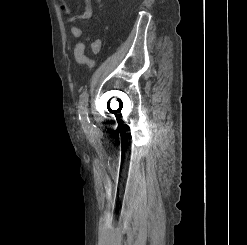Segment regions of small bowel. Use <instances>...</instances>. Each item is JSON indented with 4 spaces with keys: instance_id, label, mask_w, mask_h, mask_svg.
<instances>
[{
    "instance_id": "1",
    "label": "small bowel",
    "mask_w": 247,
    "mask_h": 245,
    "mask_svg": "<svg viewBox=\"0 0 247 245\" xmlns=\"http://www.w3.org/2000/svg\"><path fill=\"white\" fill-rule=\"evenodd\" d=\"M61 7L65 11V14L69 21H79L86 20L92 17L93 15V7L91 0H85V9L82 13L78 15H73L67 6L66 0H60ZM71 34L74 38H80L82 36V30L77 25L71 26ZM90 40V37H85L81 41H79L74 48V57L77 63L84 64L88 67H93L94 60L86 56L85 49L86 43ZM101 49V41L94 40L91 43V50L93 53H98Z\"/></svg>"
}]
</instances>
